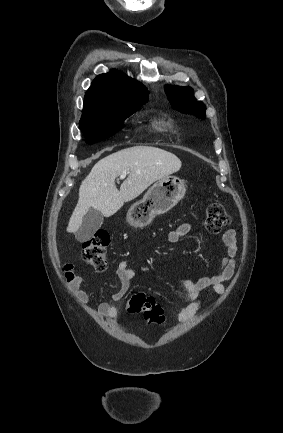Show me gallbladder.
I'll return each mask as SVG.
<instances>
[{
	"label": "gallbladder",
	"instance_id": "bac80fb5",
	"mask_svg": "<svg viewBox=\"0 0 283 433\" xmlns=\"http://www.w3.org/2000/svg\"><path fill=\"white\" fill-rule=\"evenodd\" d=\"M103 221L104 217L101 210H97V208H92L91 206V208L87 210L86 214H84L80 229L75 233L77 241H80V243H86V241H89L92 235L100 229Z\"/></svg>",
	"mask_w": 283,
	"mask_h": 433
}]
</instances>
